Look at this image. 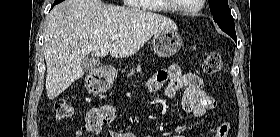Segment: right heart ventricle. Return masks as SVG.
I'll return each mask as SVG.
<instances>
[{"mask_svg":"<svg viewBox=\"0 0 280 137\" xmlns=\"http://www.w3.org/2000/svg\"><path fill=\"white\" fill-rule=\"evenodd\" d=\"M146 1L159 2L161 0H146ZM144 9L151 10V11H163L162 9H158V8H154V7H148V8H144Z\"/></svg>","mask_w":280,"mask_h":137,"instance_id":"right-heart-ventricle-1","label":"right heart ventricle"}]
</instances>
